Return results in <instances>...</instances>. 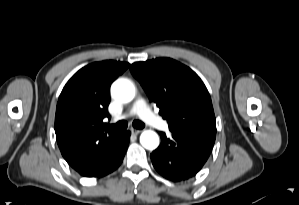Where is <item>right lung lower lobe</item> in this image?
<instances>
[{
	"label": "right lung lower lobe",
	"mask_w": 299,
	"mask_h": 205,
	"mask_svg": "<svg viewBox=\"0 0 299 205\" xmlns=\"http://www.w3.org/2000/svg\"><path fill=\"white\" fill-rule=\"evenodd\" d=\"M130 140V132L122 133L116 144L91 160L85 169L79 172L85 177H104L116 170L123 161Z\"/></svg>",
	"instance_id": "1"
}]
</instances>
